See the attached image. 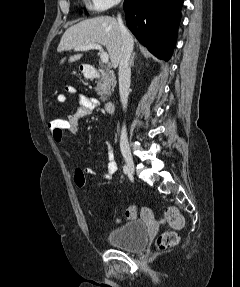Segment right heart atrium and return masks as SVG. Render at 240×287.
<instances>
[{
  "mask_svg": "<svg viewBox=\"0 0 240 287\" xmlns=\"http://www.w3.org/2000/svg\"><path fill=\"white\" fill-rule=\"evenodd\" d=\"M121 0H85L89 10L94 12H102L119 4Z\"/></svg>",
  "mask_w": 240,
  "mask_h": 287,
  "instance_id": "1",
  "label": "right heart atrium"
}]
</instances>
